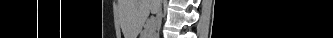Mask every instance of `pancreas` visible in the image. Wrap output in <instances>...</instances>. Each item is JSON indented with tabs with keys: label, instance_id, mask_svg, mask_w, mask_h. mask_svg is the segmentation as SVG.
Listing matches in <instances>:
<instances>
[{
	"label": "pancreas",
	"instance_id": "1",
	"mask_svg": "<svg viewBox=\"0 0 333 38\" xmlns=\"http://www.w3.org/2000/svg\"><path fill=\"white\" fill-rule=\"evenodd\" d=\"M155 34V25H150L149 27H147L144 32H143V37L145 38H150V35H154Z\"/></svg>",
	"mask_w": 333,
	"mask_h": 38
}]
</instances>
